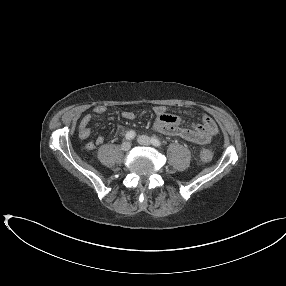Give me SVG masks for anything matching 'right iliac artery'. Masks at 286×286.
<instances>
[{
  "label": "right iliac artery",
  "instance_id": "obj_1",
  "mask_svg": "<svg viewBox=\"0 0 286 286\" xmlns=\"http://www.w3.org/2000/svg\"><path fill=\"white\" fill-rule=\"evenodd\" d=\"M135 136H136L135 131L130 130V131H128V132L126 133L125 138H126L127 140H132V139L135 138Z\"/></svg>",
  "mask_w": 286,
  "mask_h": 286
}]
</instances>
